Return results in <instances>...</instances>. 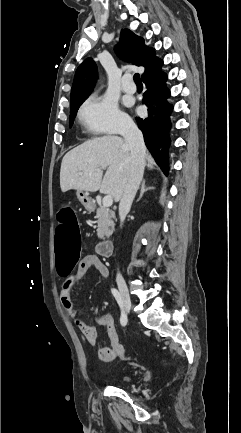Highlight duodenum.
Returning a JSON list of instances; mask_svg holds the SVG:
<instances>
[{"label": "duodenum", "instance_id": "obj_1", "mask_svg": "<svg viewBox=\"0 0 241 433\" xmlns=\"http://www.w3.org/2000/svg\"><path fill=\"white\" fill-rule=\"evenodd\" d=\"M98 253L103 257H110L113 250V242L111 240H105L98 244Z\"/></svg>", "mask_w": 241, "mask_h": 433}]
</instances>
